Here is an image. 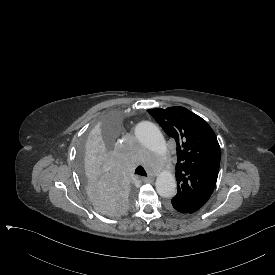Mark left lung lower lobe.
<instances>
[{"mask_svg":"<svg viewBox=\"0 0 275 275\" xmlns=\"http://www.w3.org/2000/svg\"><path fill=\"white\" fill-rule=\"evenodd\" d=\"M168 208L174 214H191V213L187 212L186 210H184L180 207L174 206V205L168 206Z\"/></svg>","mask_w":275,"mask_h":275,"instance_id":"left-lung-lower-lobe-1","label":"left lung lower lobe"}]
</instances>
